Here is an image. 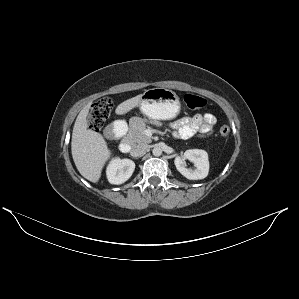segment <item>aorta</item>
I'll return each mask as SVG.
<instances>
[{
	"instance_id": "obj_1",
	"label": "aorta",
	"mask_w": 299,
	"mask_h": 299,
	"mask_svg": "<svg viewBox=\"0 0 299 299\" xmlns=\"http://www.w3.org/2000/svg\"><path fill=\"white\" fill-rule=\"evenodd\" d=\"M152 153L154 156H160L162 154V149L160 147H154Z\"/></svg>"
}]
</instances>
